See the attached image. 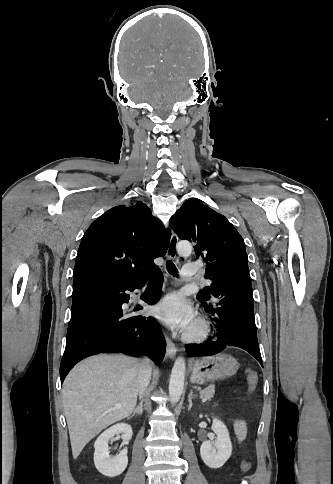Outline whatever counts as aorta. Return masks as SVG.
I'll list each match as a JSON object with an SVG mask.
<instances>
[{
    "label": "aorta",
    "instance_id": "1",
    "mask_svg": "<svg viewBox=\"0 0 333 484\" xmlns=\"http://www.w3.org/2000/svg\"><path fill=\"white\" fill-rule=\"evenodd\" d=\"M177 251L180 256H189L192 252V246L189 242L181 241L177 245ZM185 371V359L179 356L174 362L169 382V396L172 404L177 403L183 393Z\"/></svg>",
    "mask_w": 333,
    "mask_h": 484
}]
</instances>
